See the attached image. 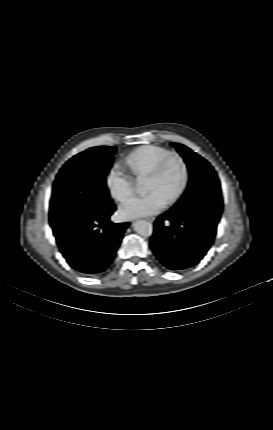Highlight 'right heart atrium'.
Wrapping results in <instances>:
<instances>
[{"mask_svg": "<svg viewBox=\"0 0 273 430\" xmlns=\"http://www.w3.org/2000/svg\"><path fill=\"white\" fill-rule=\"evenodd\" d=\"M106 185L117 201L126 200L133 192V177L121 165H113L107 172Z\"/></svg>", "mask_w": 273, "mask_h": 430, "instance_id": "d8ad5b80", "label": "right heart atrium"}]
</instances>
